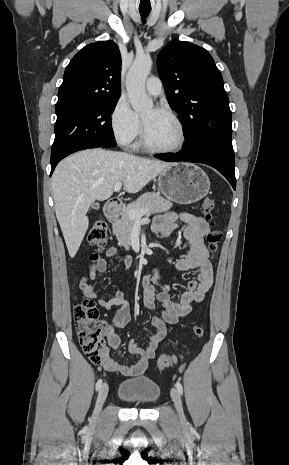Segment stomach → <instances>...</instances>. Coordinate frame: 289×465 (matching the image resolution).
Wrapping results in <instances>:
<instances>
[{"label":"stomach","mask_w":289,"mask_h":465,"mask_svg":"<svg viewBox=\"0 0 289 465\" xmlns=\"http://www.w3.org/2000/svg\"><path fill=\"white\" fill-rule=\"evenodd\" d=\"M161 193L179 204H192L207 195L210 181L206 173L191 163H174L159 174Z\"/></svg>","instance_id":"0dacf381"}]
</instances>
